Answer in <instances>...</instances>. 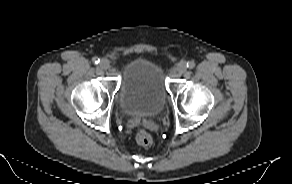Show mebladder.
I'll return each mask as SVG.
<instances>
[{
	"mask_svg": "<svg viewBox=\"0 0 292 184\" xmlns=\"http://www.w3.org/2000/svg\"><path fill=\"white\" fill-rule=\"evenodd\" d=\"M167 96L164 72L151 60L135 59L121 76L118 102L126 115H156L164 108Z\"/></svg>",
	"mask_w": 292,
	"mask_h": 184,
	"instance_id": "31cf9c89",
	"label": "bladder"
}]
</instances>
